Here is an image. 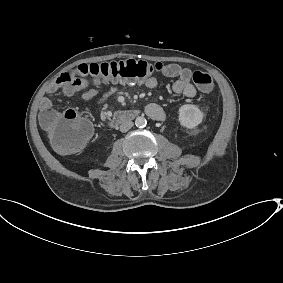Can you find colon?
I'll list each match as a JSON object with an SVG mask.
<instances>
[{
	"instance_id": "colon-1",
	"label": "colon",
	"mask_w": 283,
	"mask_h": 283,
	"mask_svg": "<svg viewBox=\"0 0 283 283\" xmlns=\"http://www.w3.org/2000/svg\"><path fill=\"white\" fill-rule=\"evenodd\" d=\"M160 69L161 64L159 63L152 64L131 59L101 64H82L61 76L64 81H73L90 76L96 81L134 84L151 77ZM193 81L203 92H209L213 88V80L205 72H195ZM40 121L54 148L65 154L78 152L92 134L90 121L84 115L72 109L64 112L47 110L42 113Z\"/></svg>"
}]
</instances>
